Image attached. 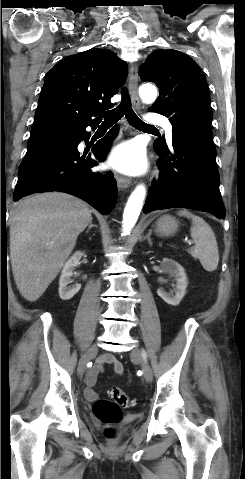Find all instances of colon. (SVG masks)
Returning a JSON list of instances; mask_svg holds the SVG:
<instances>
[{
	"mask_svg": "<svg viewBox=\"0 0 245 479\" xmlns=\"http://www.w3.org/2000/svg\"><path fill=\"white\" fill-rule=\"evenodd\" d=\"M132 400L127 393L119 388L111 390V399H98L93 405V414L105 426V435L109 439L117 436L115 425L122 420V408L132 406Z\"/></svg>",
	"mask_w": 245,
	"mask_h": 479,
	"instance_id": "5ec220e1",
	"label": "colon"
}]
</instances>
